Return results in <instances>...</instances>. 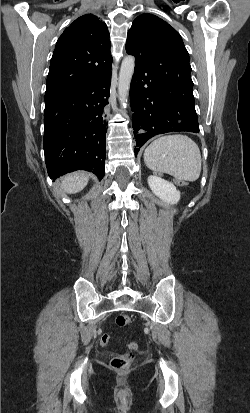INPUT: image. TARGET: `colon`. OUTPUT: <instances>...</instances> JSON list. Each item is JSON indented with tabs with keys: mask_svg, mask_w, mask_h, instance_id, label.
<instances>
[{
	"mask_svg": "<svg viewBox=\"0 0 250 413\" xmlns=\"http://www.w3.org/2000/svg\"><path fill=\"white\" fill-rule=\"evenodd\" d=\"M151 174L153 177H158L159 179H164L165 178V173L161 171L160 168H153L151 171ZM172 185L175 187H184L188 185V180L184 178H175L172 180ZM131 323V317L126 314H120L116 317V324L119 327H124L127 326ZM100 344L102 345V348H107V345L110 342V337L108 335H104L100 339ZM127 347L129 351L123 355H119L116 357H113L110 360V367L119 373H125L128 371L130 363L133 359V351H136L139 349V346L135 342H129L127 344Z\"/></svg>",
	"mask_w": 250,
	"mask_h": 413,
	"instance_id": "obj_1",
	"label": "colon"
}]
</instances>
